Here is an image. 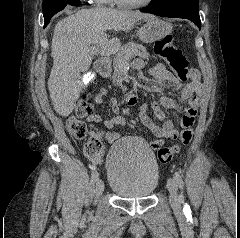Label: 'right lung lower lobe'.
<instances>
[{"label":"right lung lower lobe","instance_id":"obj_1","mask_svg":"<svg viewBox=\"0 0 240 238\" xmlns=\"http://www.w3.org/2000/svg\"><path fill=\"white\" fill-rule=\"evenodd\" d=\"M80 3H77L76 5H79ZM76 5H74V6H76Z\"/></svg>","mask_w":240,"mask_h":238}]
</instances>
